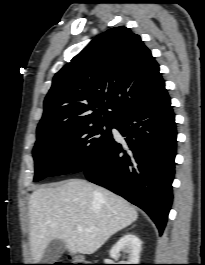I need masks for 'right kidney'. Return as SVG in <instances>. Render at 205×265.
<instances>
[{
    "instance_id": "ca27d5eb",
    "label": "right kidney",
    "mask_w": 205,
    "mask_h": 265,
    "mask_svg": "<svg viewBox=\"0 0 205 265\" xmlns=\"http://www.w3.org/2000/svg\"><path fill=\"white\" fill-rule=\"evenodd\" d=\"M141 245L142 242L136 235L126 234L111 248L110 256L116 259L120 251H124L128 254V259L126 262H121V264H138Z\"/></svg>"
}]
</instances>
